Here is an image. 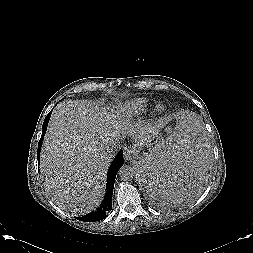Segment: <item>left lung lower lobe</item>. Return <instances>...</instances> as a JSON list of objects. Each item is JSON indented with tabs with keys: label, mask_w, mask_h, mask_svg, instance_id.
Instances as JSON below:
<instances>
[{
	"label": "left lung lower lobe",
	"mask_w": 253,
	"mask_h": 253,
	"mask_svg": "<svg viewBox=\"0 0 253 253\" xmlns=\"http://www.w3.org/2000/svg\"><path fill=\"white\" fill-rule=\"evenodd\" d=\"M198 165V162L191 163L188 166L187 170L176 173V178H174L172 173L170 174V172L166 168L161 167L159 165H152L146 171L144 179L147 182V187L150 189V191H152V193H156L157 195L166 199L170 197L173 198L176 196L180 197L184 195L187 190L183 189L182 191H179L178 194H175V185H182L187 183V178L189 177V175L192 176V174L196 173Z\"/></svg>",
	"instance_id": "1"
}]
</instances>
